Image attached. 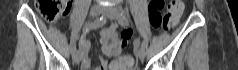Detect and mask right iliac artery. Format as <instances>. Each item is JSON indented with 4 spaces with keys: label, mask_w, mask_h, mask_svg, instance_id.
Instances as JSON below:
<instances>
[{
    "label": "right iliac artery",
    "mask_w": 238,
    "mask_h": 70,
    "mask_svg": "<svg viewBox=\"0 0 238 70\" xmlns=\"http://www.w3.org/2000/svg\"><path fill=\"white\" fill-rule=\"evenodd\" d=\"M106 23V18L105 17H100L96 20H94L93 22H91L84 30L83 32H87L89 29H97V28H100L102 27L104 24ZM77 50H76V44L74 43L72 46H71V52L72 53H75Z\"/></svg>",
    "instance_id": "right-iliac-artery-1"
}]
</instances>
